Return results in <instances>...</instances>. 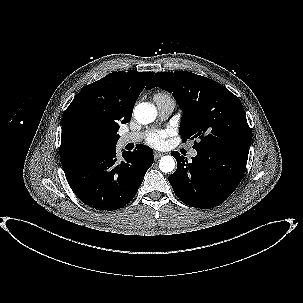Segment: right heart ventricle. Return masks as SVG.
I'll use <instances>...</instances> for the list:
<instances>
[{"mask_svg":"<svg viewBox=\"0 0 303 303\" xmlns=\"http://www.w3.org/2000/svg\"><path fill=\"white\" fill-rule=\"evenodd\" d=\"M155 101L156 100H173L172 97L167 93H157L154 96Z\"/></svg>","mask_w":303,"mask_h":303,"instance_id":"1","label":"right heart ventricle"}]
</instances>
